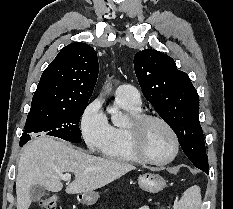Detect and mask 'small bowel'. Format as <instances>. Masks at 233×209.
Listing matches in <instances>:
<instances>
[{
    "label": "small bowel",
    "instance_id": "1",
    "mask_svg": "<svg viewBox=\"0 0 233 209\" xmlns=\"http://www.w3.org/2000/svg\"><path fill=\"white\" fill-rule=\"evenodd\" d=\"M139 209H151L149 206H143V207H140Z\"/></svg>",
    "mask_w": 233,
    "mask_h": 209
}]
</instances>
